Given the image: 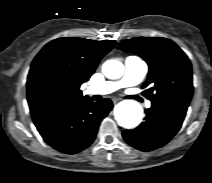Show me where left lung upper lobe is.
I'll return each instance as SVG.
<instances>
[{"mask_svg": "<svg viewBox=\"0 0 212 183\" xmlns=\"http://www.w3.org/2000/svg\"><path fill=\"white\" fill-rule=\"evenodd\" d=\"M121 50L141 56L149 66L142 92L151 102L187 106L193 95L192 68L186 54L171 40L141 37L123 40Z\"/></svg>", "mask_w": 212, "mask_h": 183, "instance_id": "5c2ea615", "label": "left lung upper lobe"}]
</instances>
